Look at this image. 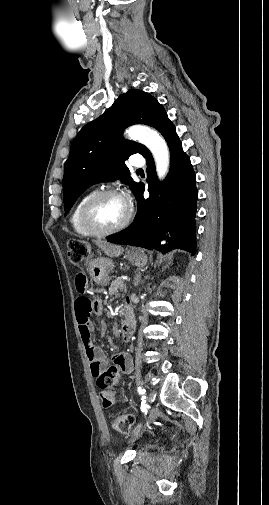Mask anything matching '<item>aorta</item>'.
I'll return each instance as SVG.
<instances>
[{"mask_svg":"<svg viewBox=\"0 0 269 505\" xmlns=\"http://www.w3.org/2000/svg\"><path fill=\"white\" fill-rule=\"evenodd\" d=\"M127 136L144 144L152 153L159 180H163L169 171L170 154L167 143L160 134L147 126L136 125L126 131Z\"/></svg>","mask_w":269,"mask_h":505,"instance_id":"762f6f07","label":"aorta"}]
</instances>
